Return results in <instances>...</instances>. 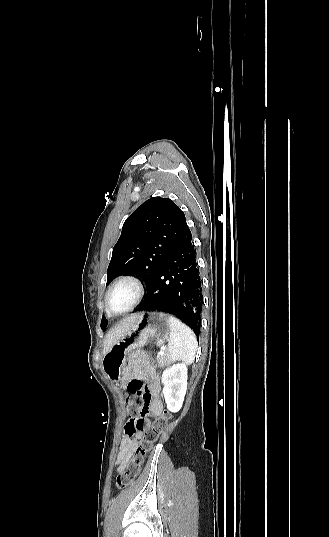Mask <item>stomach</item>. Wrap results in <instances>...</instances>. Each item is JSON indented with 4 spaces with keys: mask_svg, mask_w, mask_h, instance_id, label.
Here are the masks:
<instances>
[{
    "mask_svg": "<svg viewBox=\"0 0 329 537\" xmlns=\"http://www.w3.org/2000/svg\"><path fill=\"white\" fill-rule=\"evenodd\" d=\"M170 316L147 312L139 315L134 325L104 354L102 367L111 380L119 379L127 354L150 341L160 345L170 336Z\"/></svg>",
    "mask_w": 329,
    "mask_h": 537,
    "instance_id": "0dacf381",
    "label": "stomach"
}]
</instances>
